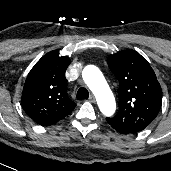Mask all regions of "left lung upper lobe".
Returning <instances> with one entry per match:
<instances>
[{
  "instance_id": "1",
  "label": "left lung upper lobe",
  "mask_w": 171,
  "mask_h": 171,
  "mask_svg": "<svg viewBox=\"0 0 171 171\" xmlns=\"http://www.w3.org/2000/svg\"><path fill=\"white\" fill-rule=\"evenodd\" d=\"M108 65L119 80L120 109L114 117L106 119L113 127L148 126L162 105V90L153 69L133 50L110 55Z\"/></svg>"
}]
</instances>
